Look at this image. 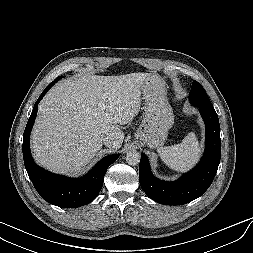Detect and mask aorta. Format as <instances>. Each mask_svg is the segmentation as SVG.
I'll return each mask as SVG.
<instances>
[{"mask_svg": "<svg viewBox=\"0 0 253 253\" xmlns=\"http://www.w3.org/2000/svg\"><path fill=\"white\" fill-rule=\"evenodd\" d=\"M141 155L137 150H130L126 154V162L131 166H136L139 164Z\"/></svg>", "mask_w": 253, "mask_h": 253, "instance_id": "1", "label": "aorta"}]
</instances>
